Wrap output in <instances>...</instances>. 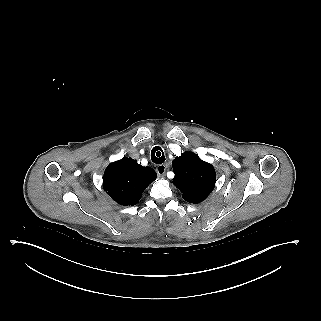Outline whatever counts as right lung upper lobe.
<instances>
[{"mask_svg": "<svg viewBox=\"0 0 321 321\" xmlns=\"http://www.w3.org/2000/svg\"><path fill=\"white\" fill-rule=\"evenodd\" d=\"M157 177L150 167H142L131 158L109 164L103 177L107 194L117 203L127 206L139 202L144 189Z\"/></svg>", "mask_w": 321, "mask_h": 321, "instance_id": "cb5924a9", "label": "right lung upper lobe"}]
</instances>
